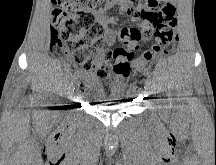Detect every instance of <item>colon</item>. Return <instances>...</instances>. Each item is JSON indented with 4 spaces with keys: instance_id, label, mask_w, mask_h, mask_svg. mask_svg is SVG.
I'll list each match as a JSON object with an SVG mask.
<instances>
[{
    "instance_id": "5ec220e1",
    "label": "colon",
    "mask_w": 216,
    "mask_h": 165,
    "mask_svg": "<svg viewBox=\"0 0 216 165\" xmlns=\"http://www.w3.org/2000/svg\"><path fill=\"white\" fill-rule=\"evenodd\" d=\"M56 6L51 16V40L61 52L72 61L99 79L114 73L126 72L131 68L144 70L150 64L154 53L169 55L176 46L175 28L178 20L174 10H159L141 13L151 21V30L143 34L134 27H123L119 38L124 46L152 35L155 45L151 50L134 57L133 52L123 46L110 50L106 47L102 25L97 21L96 10L110 3V0H52ZM114 61L113 64L111 62Z\"/></svg>"
}]
</instances>
